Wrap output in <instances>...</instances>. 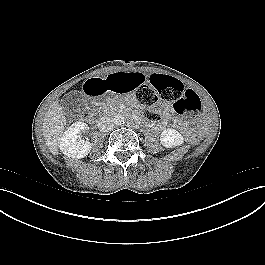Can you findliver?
I'll return each instance as SVG.
<instances>
[{
    "label": "liver",
    "instance_id": "obj_1",
    "mask_svg": "<svg viewBox=\"0 0 265 265\" xmlns=\"http://www.w3.org/2000/svg\"><path fill=\"white\" fill-rule=\"evenodd\" d=\"M66 125V117L58 101H55L43 119V136L52 154L57 155L60 139Z\"/></svg>",
    "mask_w": 265,
    "mask_h": 265
}]
</instances>
